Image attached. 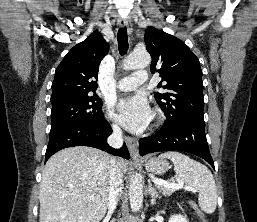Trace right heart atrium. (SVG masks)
Masks as SVG:
<instances>
[{
	"instance_id": "obj_1",
	"label": "right heart atrium",
	"mask_w": 257,
	"mask_h": 222,
	"mask_svg": "<svg viewBox=\"0 0 257 222\" xmlns=\"http://www.w3.org/2000/svg\"><path fill=\"white\" fill-rule=\"evenodd\" d=\"M106 116L109 121L110 127L115 134H120L121 129L117 116L113 113L110 108H106Z\"/></svg>"
}]
</instances>
